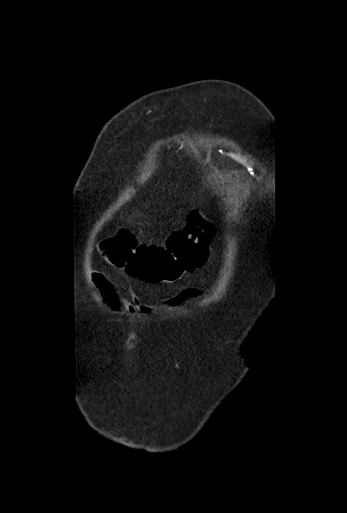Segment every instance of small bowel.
Wrapping results in <instances>:
<instances>
[{
    "label": "small bowel",
    "instance_id": "c3829d8e",
    "mask_svg": "<svg viewBox=\"0 0 347 513\" xmlns=\"http://www.w3.org/2000/svg\"><path fill=\"white\" fill-rule=\"evenodd\" d=\"M90 276L97 289L101 292L106 304L111 308L118 309L122 306L123 309L128 312L144 313L151 310L149 306L141 303L139 297L134 293H130L129 297L119 295L105 274L91 269ZM200 296L201 292L198 289L187 287L177 293L176 302L179 303L187 299L200 298Z\"/></svg>",
    "mask_w": 347,
    "mask_h": 513
}]
</instances>
